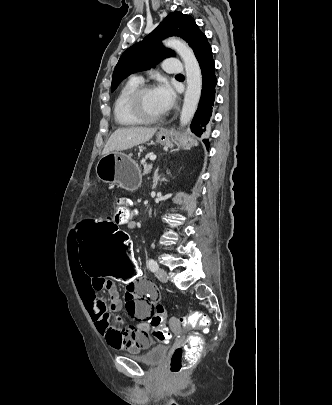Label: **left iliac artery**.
I'll list each match as a JSON object with an SVG mask.
<instances>
[{"instance_id":"1","label":"left iliac artery","mask_w":332,"mask_h":405,"mask_svg":"<svg viewBox=\"0 0 332 405\" xmlns=\"http://www.w3.org/2000/svg\"><path fill=\"white\" fill-rule=\"evenodd\" d=\"M148 267L152 272H156L159 268L157 262L152 258L148 260Z\"/></svg>"}]
</instances>
